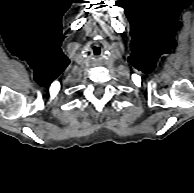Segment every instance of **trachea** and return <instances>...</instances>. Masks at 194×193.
<instances>
[{"label": "trachea", "instance_id": "trachea-1", "mask_svg": "<svg viewBox=\"0 0 194 193\" xmlns=\"http://www.w3.org/2000/svg\"><path fill=\"white\" fill-rule=\"evenodd\" d=\"M100 51H98V53H99ZM95 53H97V51L95 50Z\"/></svg>", "mask_w": 194, "mask_h": 193}]
</instances>
